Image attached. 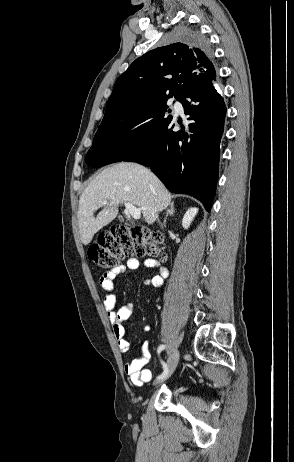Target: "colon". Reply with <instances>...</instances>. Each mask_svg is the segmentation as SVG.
I'll return each mask as SVG.
<instances>
[{"label": "colon", "instance_id": "obj_1", "mask_svg": "<svg viewBox=\"0 0 294 462\" xmlns=\"http://www.w3.org/2000/svg\"><path fill=\"white\" fill-rule=\"evenodd\" d=\"M161 240L160 233L143 227L118 225L102 234L98 243L89 248L88 255L99 269L109 271L125 257L159 255Z\"/></svg>", "mask_w": 294, "mask_h": 462}]
</instances>
